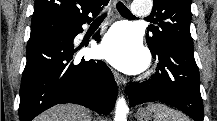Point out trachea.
<instances>
[{
  "label": "trachea",
  "mask_w": 217,
  "mask_h": 121,
  "mask_svg": "<svg viewBox=\"0 0 217 121\" xmlns=\"http://www.w3.org/2000/svg\"><path fill=\"white\" fill-rule=\"evenodd\" d=\"M119 13L122 16H126V17H133V15L131 14L130 10L122 3V2H118L116 5ZM106 17V13L102 14L101 16L98 17V19H103Z\"/></svg>",
  "instance_id": "1"
}]
</instances>
